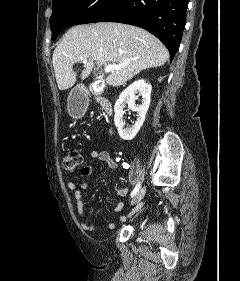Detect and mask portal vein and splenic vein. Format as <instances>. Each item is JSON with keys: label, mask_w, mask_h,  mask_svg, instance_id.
Returning <instances> with one entry per match:
<instances>
[{"label": "portal vein and splenic vein", "mask_w": 240, "mask_h": 281, "mask_svg": "<svg viewBox=\"0 0 240 281\" xmlns=\"http://www.w3.org/2000/svg\"><path fill=\"white\" fill-rule=\"evenodd\" d=\"M82 63L86 64L87 63V59H82ZM121 68L122 67L119 66V65H111V64H109V65L105 66L104 70H105L106 73H109V72H111L113 70H120Z\"/></svg>", "instance_id": "portal-vein-and-splenic-vein-1"}]
</instances>
